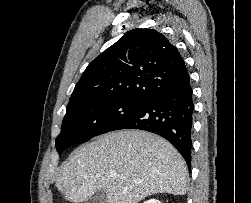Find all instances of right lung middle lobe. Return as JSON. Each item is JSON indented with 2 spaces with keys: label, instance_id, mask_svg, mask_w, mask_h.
I'll use <instances>...</instances> for the list:
<instances>
[{
  "label": "right lung middle lobe",
  "instance_id": "dd1d6c3e",
  "mask_svg": "<svg viewBox=\"0 0 251 203\" xmlns=\"http://www.w3.org/2000/svg\"><path fill=\"white\" fill-rule=\"evenodd\" d=\"M143 104L144 102L128 100H95L69 105L61 133L56 139L58 153L111 131Z\"/></svg>",
  "mask_w": 251,
  "mask_h": 203
}]
</instances>
